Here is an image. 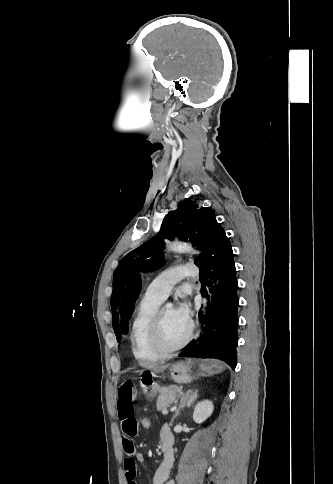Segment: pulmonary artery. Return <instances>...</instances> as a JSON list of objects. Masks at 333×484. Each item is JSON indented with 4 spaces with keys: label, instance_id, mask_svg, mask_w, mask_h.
<instances>
[{
    "label": "pulmonary artery",
    "instance_id": "1",
    "mask_svg": "<svg viewBox=\"0 0 333 484\" xmlns=\"http://www.w3.org/2000/svg\"><path fill=\"white\" fill-rule=\"evenodd\" d=\"M197 269L193 264L186 263L169 268L160 273L148 286L146 295L165 300L170 290L183 278L195 276Z\"/></svg>",
    "mask_w": 333,
    "mask_h": 484
}]
</instances>
